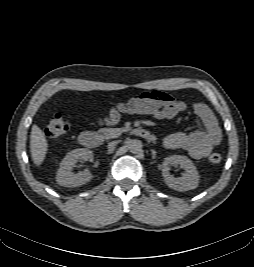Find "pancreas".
Wrapping results in <instances>:
<instances>
[{
  "mask_svg": "<svg viewBox=\"0 0 254 267\" xmlns=\"http://www.w3.org/2000/svg\"><path fill=\"white\" fill-rule=\"evenodd\" d=\"M123 131L122 128H102L99 130L100 133L107 137H116Z\"/></svg>",
  "mask_w": 254,
  "mask_h": 267,
  "instance_id": "cf45deb5",
  "label": "pancreas"
}]
</instances>
